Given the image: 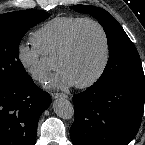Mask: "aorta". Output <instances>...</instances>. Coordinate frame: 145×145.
Masks as SVG:
<instances>
[{"mask_svg": "<svg viewBox=\"0 0 145 145\" xmlns=\"http://www.w3.org/2000/svg\"><path fill=\"white\" fill-rule=\"evenodd\" d=\"M54 112L62 119H70L74 116V106L65 97H59L53 104Z\"/></svg>", "mask_w": 145, "mask_h": 145, "instance_id": "obj_1", "label": "aorta"}]
</instances>
